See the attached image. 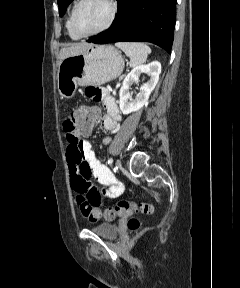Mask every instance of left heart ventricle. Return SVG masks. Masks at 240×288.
I'll return each instance as SVG.
<instances>
[{
    "label": "left heart ventricle",
    "instance_id": "obj_1",
    "mask_svg": "<svg viewBox=\"0 0 240 288\" xmlns=\"http://www.w3.org/2000/svg\"><path fill=\"white\" fill-rule=\"evenodd\" d=\"M110 12L106 0H86L75 18V26L80 33H89L100 28L107 20Z\"/></svg>",
    "mask_w": 240,
    "mask_h": 288
}]
</instances>
